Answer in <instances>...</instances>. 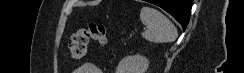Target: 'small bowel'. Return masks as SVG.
I'll use <instances>...</instances> for the list:
<instances>
[{
  "label": "small bowel",
  "instance_id": "c3829d8e",
  "mask_svg": "<svg viewBox=\"0 0 244 73\" xmlns=\"http://www.w3.org/2000/svg\"><path fill=\"white\" fill-rule=\"evenodd\" d=\"M74 73H103V72L94 63L85 62L80 67H78L74 71Z\"/></svg>",
  "mask_w": 244,
  "mask_h": 73
}]
</instances>
